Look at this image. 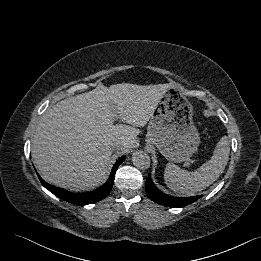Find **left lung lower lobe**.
Wrapping results in <instances>:
<instances>
[{
	"label": "left lung lower lobe",
	"instance_id": "1",
	"mask_svg": "<svg viewBox=\"0 0 261 261\" xmlns=\"http://www.w3.org/2000/svg\"><path fill=\"white\" fill-rule=\"evenodd\" d=\"M145 188H146V193L151 200L164 206L184 207L201 198V195L192 196V197H183V198H177V197H171L165 195L153 184L150 175L146 180Z\"/></svg>",
	"mask_w": 261,
	"mask_h": 261
}]
</instances>
